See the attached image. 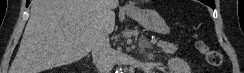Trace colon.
Instances as JSON below:
<instances>
[{
    "instance_id": "1",
    "label": "colon",
    "mask_w": 244,
    "mask_h": 73,
    "mask_svg": "<svg viewBox=\"0 0 244 73\" xmlns=\"http://www.w3.org/2000/svg\"><path fill=\"white\" fill-rule=\"evenodd\" d=\"M197 48L211 66L220 67L223 64V55L219 50L210 48L202 41L197 42Z\"/></svg>"
}]
</instances>
